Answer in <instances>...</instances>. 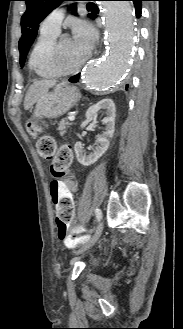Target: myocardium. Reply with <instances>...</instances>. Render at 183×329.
<instances>
[{
  "instance_id": "f54148a6",
  "label": "myocardium",
  "mask_w": 183,
  "mask_h": 329,
  "mask_svg": "<svg viewBox=\"0 0 183 329\" xmlns=\"http://www.w3.org/2000/svg\"><path fill=\"white\" fill-rule=\"evenodd\" d=\"M61 42H62V40L56 41L55 45L53 46L52 52H51V65H52L53 71L57 76H68V75L75 74L83 68V66L90 59L91 55L88 54L81 63H79L73 67L63 68L61 65L62 58H63Z\"/></svg>"
}]
</instances>
